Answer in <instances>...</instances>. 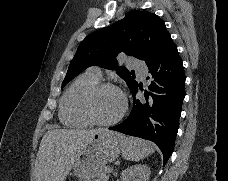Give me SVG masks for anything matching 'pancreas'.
Here are the masks:
<instances>
[{
    "label": "pancreas",
    "instance_id": "cf45deb5",
    "mask_svg": "<svg viewBox=\"0 0 228 181\" xmlns=\"http://www.w3.org/2000/svg\"><path fill=\"white\" fill-rule=\"evenodd\" d=\"M107 169H108V167H105V169H101V171H99V175H101L102 181H105V179H107V177H106V175L108 173Z\"/></svg>",
    "mask_w": 228,
    "mask_h": 181
}]
</instances>
